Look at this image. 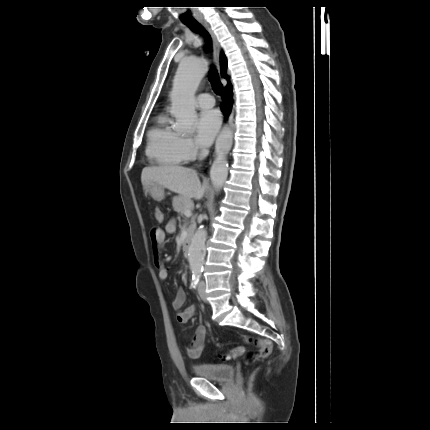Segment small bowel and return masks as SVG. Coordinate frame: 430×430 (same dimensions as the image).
<instances>
[{
  "instance_id": "small-bowel-1",
  "label": "small bowel",
  "mask_w": 430,
  "mask_h": 430,
  "mask_svg": "<svg viewBox=\"0 0 430 430\" xmlns=\"http://www.w3.org/2000/svg\"><path fill=\"white\" fill-rule=\"evenodd\" d=\"M175 228L176 225L174 221H169L165 228L155 227L150 232V238L153 243L154 250V261L158 269V277L161 281H166L168 278V269L162 261L161 252L164 247L166 235L174 233ZM184 300L185 293L183 290H179L177 296L172 301V308L177 312L176 320L180 324L187 323L196 312L195 305H189L185 308H182ZM205 337L206 328L203 325H199L191 342L185 345V352L190 358L197 359L200 357L204 349Z\"/></svg>"
}]
</instances>
